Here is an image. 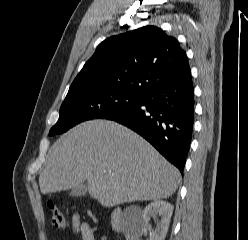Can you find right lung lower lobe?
<instances>
[{
    "instance_id": "right-lung-lower-lobe-1",
    "label": "right lung lower lobe",
    "mask_w": 248,
    "mask_h": 240,
    "mask_svg": "<svg viewBox=\"0 0 248 240\" xmlns=\"http://www.w3.org/2000/svg\"><path fill=\"white\" fill-rule=\"evenodd\" d=\"M150 142L183 172L194 123V88L191 73L146 93L135 105L110 115Z\"/></svg>"
}]
</instances>
